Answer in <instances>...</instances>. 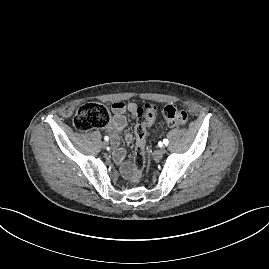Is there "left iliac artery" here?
<instances>
[{
  "label": "left iliac artery",
  "mask_w": 269,
  "mask_h": 269,
  "mask_svg": "<svg viewBox=\"0 0 269 269\" xmlns=\"http://www.w3.org/2000/svg\"><path fill=\"white\" fill-rule=\"evenodd\" d=\"M162 144L165 145V146H167L169 144V140L168 139H163Z\"/></svg>",
  "instance_id": "44dca946"
}]
</instances>
